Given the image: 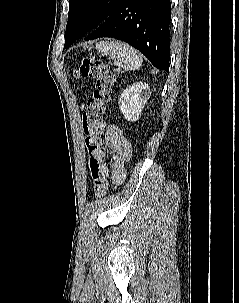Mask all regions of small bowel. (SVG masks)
Masks as SVG:
<instances>
[{
  "instance_id": "small-bowel-1",
  "label": "small bowel",
  "mask_w": 239,
  "mask_h": 303,
  "mask_svg": "<svg viewBox=\"0 0 239 303\" xmlns=\"http://www.w3.org/2000/svg\"><path fill=\"white\" fill-rule=\"evenodd\" d=\"M104 144L111 156V174L115 184H121L126 177V162L131 154V144L126 134L116 125L108 126Z\"/></svg>"
}]
</instances>
